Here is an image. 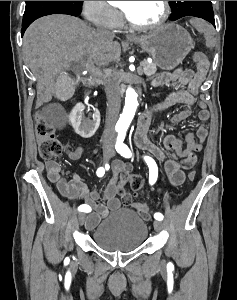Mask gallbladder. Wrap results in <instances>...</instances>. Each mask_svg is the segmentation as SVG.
Listing matches in <instances>:
<instances>
[{"label": "gallbladder", "instance_id": "1", "mask_svg": "<svg viewBox=\"0 0 237 300\" xmlns=\"http://www.w3.org/2000/svg\"><path fill=\"white\" fill-rule=\"evenodd\" d=\"M84 71V70H83ZM59 82L56 83L57 101H70L71 94H75V82L68 72H59Z\"/></svg>", "mask_w": 237, "mask_h": 300}]
</instances>
